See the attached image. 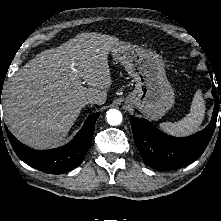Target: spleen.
<instances>
[{
  "instance_id": "3e777b00",
  "label": "spleen",
  "mask_w": 221,
  "mask_h": 221,
  "mask_svg": "<svg viewBox=\"0 0 221 221\" xmlns=\"http://www.w3.org/2000/svg\"><path fill=\"white\" fill-rule=\"evenodd\" d=\"M206 107L202 92L198 90L191 103L190 112L178 122H164L160 129L172 136H188L195 133L204 120Z\"/></svg>"
}]
</instances>
